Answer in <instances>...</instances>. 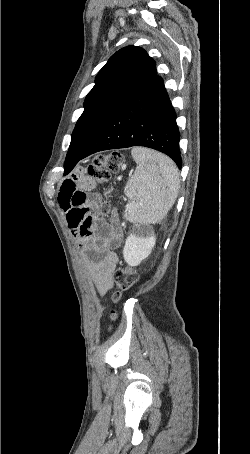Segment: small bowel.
<instances>
[{"label": "small bowel", "instance_id": "c3829d8e", "mask_svg": "<svg viewBox=\"0 0 250 454\" xmlns=\"http://www.w3.org/2000/svg\"><path fill=\"white\" fill-rule=\"evenodd\" d=\"M94 186L92 178L77 170L61 184L58 201L82 251L89 275L98 292L104 294L113 286L118 264L115 249L122 243L123 231L117 220L109 223L93 215L97 198L89 192Z\"/></svg>", "mask_w": 250, "mask_h": 454}]
</instances>
